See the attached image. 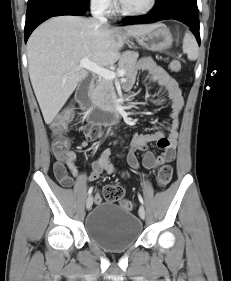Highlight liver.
I'll use <instances>...</instances> for the list:
<instances>
[{
  "instance_id": "liver-1",
  "label": "liver",
  "mask_w": 231,
  "mask_h": 281,
  "mask_svg": "<svg viewBox=\"0 0 231 281\" xmlns=\"http://www.w3.org/2000/svg\"><path fill=\"white\" fill-rule=\"evenodd\" d=\"M157 26L110 28L97 19L78 16L53 17L41 24L28 40L27 58L31 84L45 123L54 120L87 75L79 67L83 58L101 67L113 65L127 37L142 35Z\"/></svg>"
}]
</instances>
